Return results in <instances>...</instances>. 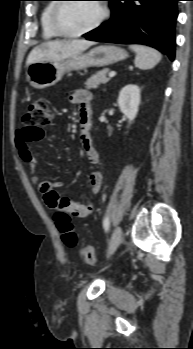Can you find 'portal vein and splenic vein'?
Instances as JSON below:
<instances>
[{"instance_id":"1","label":"portal vein and splenic vein","mask_w":193,"mask_h":349,"mask_svg":"<svg viewBox=\"0 0 193 349\" xmlns=\"http://www.w3.org/2000/svg\"><path fill=\"white\" fill-rule=\"evenodd\" d=\"M115 75H116V72H115V71H111V72L109 73L108 76H109L110 78H112V77H114Z\"/></svg>"}]
</instances>
